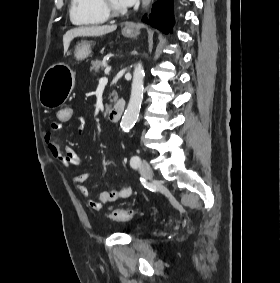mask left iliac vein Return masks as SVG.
<instances>
[{
  "instance_id": "left-iliac-vein-1",
  "label": "left iliac vein",
  "mask_w": 280,
  "mask_h": 283,
  "mask_svg": "<svg viewBox=\"0 0 280 283\" xmlns=\"http://www.w3.org/2000/svg\"><path fill=\"white\" fill-rule=\"evenodd\" d=\"M141 176L146 179L150 180L153 177V171L146 160H142L139 166Z\"/></svg>"
}]
</instances>
